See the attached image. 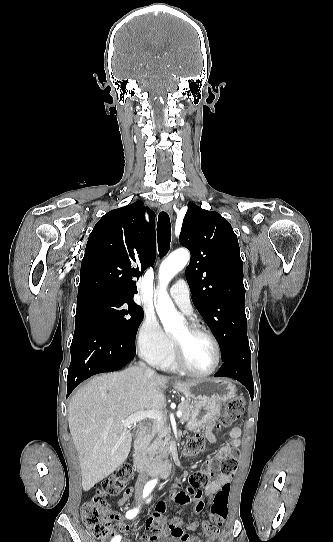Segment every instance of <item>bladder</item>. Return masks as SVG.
I'll return each instance as SVG.
<instances>
[{"label": "bladder", "instance_id": "1", "mask_svg": "<svg viewBox=\"0 0 333 542\" xmlns=\"http://www.w3.org/2000/svg\"><path fill=\"white\" fill-rule=\"evenodd\" d=\"M151 542H179L177 538L172 535H162L153 539Z\"/></svg>", "mask_w": 333, "mask_h": 542}]
</instances>
